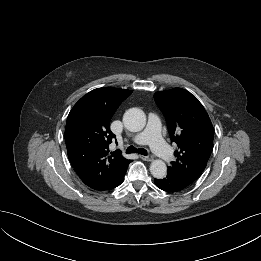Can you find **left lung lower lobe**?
<instances>
[{
    "instance_id": "left-lung-lower-lobe-1",
    "label": "left lung lower lobe",
    "mask_w": 261,
    "mask_h": 261,
    "mask_svg": "<svg viewBox=\"0 0 261 261\" xmlns=\"http://www.w3.org/2000/svg\"><path fill=\"white\" fill-rule=\"evenodd\" d=\"M154 182L159 189L167 192H177L190 186L189 183L172 173H167L164 179H154Z\"/></svg>"
}]
</instances>
